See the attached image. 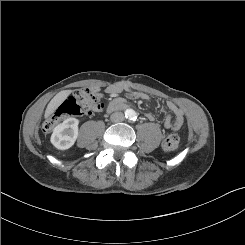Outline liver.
Here are the masks:
<instances>
[{
  "mask_svg": "<svg viewBox=\"0 0 245 245\" xmlns=\"http://www.w3.org/2000/svg\"><path fill=\"white\" fill-rule=\"evenodd\" d=\"M72 93V90H63L57 93L52 100L47 105V108L45 110V118H48L50 115H52L55 110L58 108V106Z\"/></svg>",
  "mask_w": 245,
  "mask_h": 245,
  "instance_id": "6515ba94",
  "label": "liver"
}]
</instances>
